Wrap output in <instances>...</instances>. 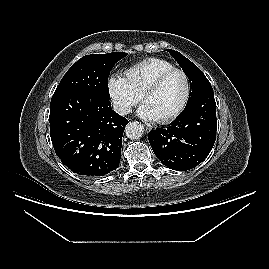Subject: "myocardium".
<instances>
[{
	"mask_svg": "<svg viewBox=\"0 0 269 269\" xmlns=\"http://www.w3.org/2000/svg\"><path fill=\"white\" fill-rule=\"evenodd\" d=\"M179 72L181 73L184 78H185V82H186V92H185V96L184 99L181 103V105L172 113H170L169 115L163 117V118H159L156 119L157 122L161 123V124H166L169 123L171 121H173L174 119H176L178 116H180L184 110L186 109L189 101H190V97H191V92H192V83L190 80L189 75L187 74V72L181 68H172L169 69L163 73H161L159 76H157L141 93V100L144 102L145 98L149 95L154 93L155 91H157L161 85L164 83V81L173 73Z\"/></svg>",
	"mask_w": 269,
	"mask_h": 269,
	"instance_id": "1",
	"label": "myocardium"
}]
</instances>
